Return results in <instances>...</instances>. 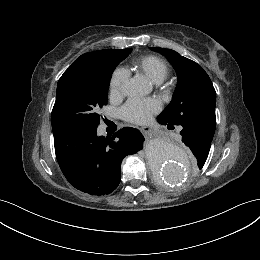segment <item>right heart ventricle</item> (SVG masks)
Instances as JSON below:
<instances>
[{"instance_id": "e07e8e85", "label": "right heart ventricle", "mask_w": 260, "mask_h": 260, "mask_svg": "<svg viewBox=\"0 0 260 260\" xmlns=\"http://www.w3.org/2000/svg\"><path fill=\"white\" fill-rule=\"evenodd\" d=\"M133 64L137 71L156 84L163 82L170 72L165 60L156 55H145L136 58Z\"/></svg>"}]
</instances>
